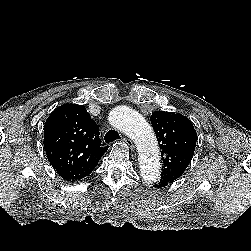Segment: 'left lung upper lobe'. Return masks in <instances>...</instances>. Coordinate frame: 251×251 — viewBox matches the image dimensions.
I'll use <instances>...</instances> for the list:
<instances>
[{
  "instance_id": "obj_1",
  "label": "left lung upper lobe",
  "mask_w": 251,
  "mask_h": 251,
  "mask_svg": "<svg viewBox=\"0 0 251 251\" xmlns=\"http://www.w3.org/2000/svg\"><path fill=\"white\" fill-rule=\"evenodd\" d=\"M151 123L163 160L160 181L173 183L184 173L194 155L196 131L187 117L171 112L155 111Z\"/></svg>"
}]
</instances>
